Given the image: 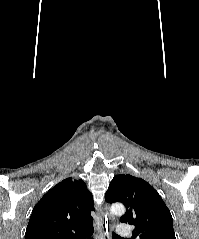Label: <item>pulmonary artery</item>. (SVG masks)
Returning <instances> with one entry per match:
<instances>
[{
  "mask_svg": "<svg viewBox=\"0 0 199 239\" xmlns=\"http://www.w3.org/2000/svg\"><path fill=\"white\" fill-rule=\"evenodd\" d=\"M117 233L120 237H129L131 235V228L128 224H119L117 226Z\"/></svg>",
  "mask_w": 199,
  "mask_h": 239,
  "instance_id": "e3ab8cb5",
  "label": "pulmonary artery"
}]
</instances>
